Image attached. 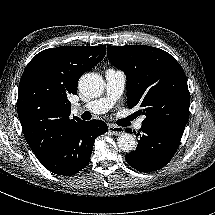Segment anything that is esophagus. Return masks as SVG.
I'll use <instances>...</instances> for the list:
<instances>
[{"instance_id":"1","label":"esophagus","mask_w":215,"mask_h":215,"mask_svg":"<svg viewBox=\"0 0 215 215\" xmlns=\"http://www.w3.org/2000/svg\"><path fill=\"white\" fill-rule=\"evenodd\" d=\"M108 129L110 132H112L114 135H122L125 133V128L123 127H120V126H115V125H112L110 124L108 126Z\"/></svg>"}]
</instances>
